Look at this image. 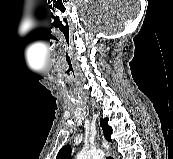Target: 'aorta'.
I'll use <instances>...</instances> for the list:
<instances>
[{
    "label": "aorta",
    "instance_id": "aorta-1",
    "mask_svg": "<svg viewBox=\"0 0 173 159\" xmlns=\"http://www.w3.org/2000/svg\"><path fill=\"white\" fill-rule=\"evenodd\" d=\"M104 152L100 149H91L88 152H80L76 159H103Z\"/></svg>",
    "mask_w": 173,
    "mask_h": 159
}]
</instances>
